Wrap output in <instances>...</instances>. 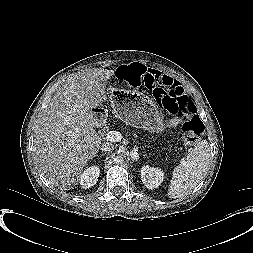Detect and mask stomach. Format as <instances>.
<instances>
[{
	"label": "stomach",
	"instance_id": "1",
	"mask_svg": "<svg viewBox=\"0 0 253 253\" xmlns=\"http://www.w3.org/2000/svg\"><path fill=\"white\" fill-rule=\"evenodd\" d=\"M106 98L113 114L128 125L150 132L161 133L166 125L154 102L138 92L111 89Z\"/></svg>",
	"mask_w": 253,
	"mask_h": 253
}]
</instances>
